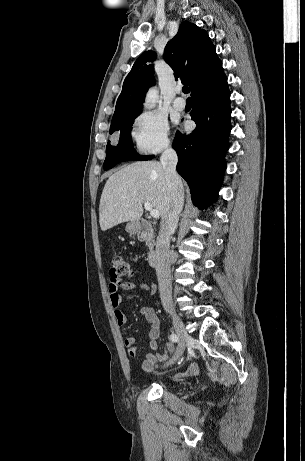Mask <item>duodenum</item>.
I'll return each instance as SVG.
<instances>
[{
    "mask_svg": "<svg viewBox=\"0 0 305 461\" xmlns=\"http://www.w3.org/2000/svg\"><path fill=\"white\" fill-rule=\"evenodd\" d=\"M137 237L140 240L146 241L148 244H152L154 241V234L152 225L145 220H140L135 225ZM147 263L150 267L157 264V253L154 249H151L147 256Z\"/></svg>",
    "mask_w": 305,
    "mask_h": 461,
    "instance_id": "1",
    "label": "duodenum"
}]
</instances>
